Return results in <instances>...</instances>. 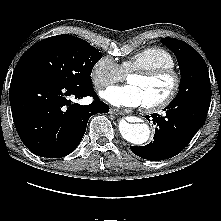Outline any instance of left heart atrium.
<instances>
[{"instance_id": "39dd6f15", "label": "left heart atrium", "mask_w": 221, "mask_h": 221, "mask_svg": "<svg viewBox=\"0 0 221 221\" xmlns=\"http://www.w3.org/2000/svg\"><path fill=\"white\" fill-rule=\"evenodd\" d=\"M101 96L116 106L138 107L143 105V98L139 90L130 83L109 87L101 92Z\"/></svg>"}]
</instances>
